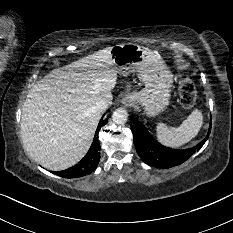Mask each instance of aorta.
<instances>
[{
	"instance_id": "762f6f07",
	"label": "aorta",
	"mask_w": 233,
	"mask_h": 233,
	"mask_svg": "<svg viewBox=\"0 0 233 233\" xmlns=\"http://www.w3.org/2000/svg\"><path fill=\"white\" fill-rule=\"evenodd\" d=\"M128 119V113L123 108L116 109L112 114V120L116 124H124Z\"/></svg>"
}]
</instances>
